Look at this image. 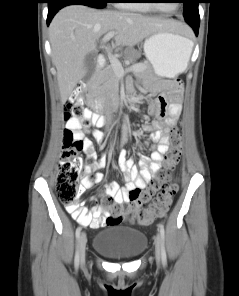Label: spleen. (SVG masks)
<instances>
[{"instance_id": "spleen-1", "label": "spleen", "mask_w": 239, "mask_h": 296, "mask_svg": "<svg viewBox=\"0 0 239 296\" xmlns=\"http://www.w3.org/2000/svg\"><path fill=\"white\" fill-rule=\"evenodd\" d=\"M192 47H193V42H192V44L190 45L189 50H188L187 61H189V58H190V55H191V52H192Z\"/></svg>"}]
</instances>
